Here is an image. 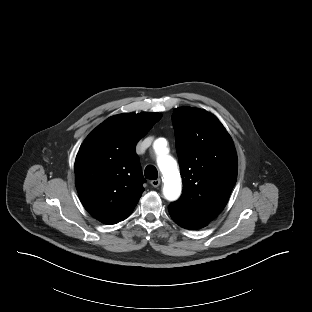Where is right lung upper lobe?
<instances>
[{
	"mask_svg": "<svg viewBox=\"0 0 312 312\" xmlns=\"http://www.w3.org/2000/svg\"><path fill=\"white\" fill-rule=\"evenodd\" d=\"M160 118L159 113L115 115L82 143L75 184L83 206L97 220L116 224L133 212L145 182L135 146Z\"/></svg>",
	"mask_w": 312,
	"mask_h": 312,
	"instance_id": "obj_1",
	"label": "right lung upper lobe"
}]
</instances>
